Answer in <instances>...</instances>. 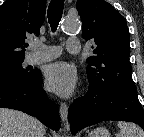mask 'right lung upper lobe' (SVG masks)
<instances>
[{"mask_svg": "<svg viewBox=\"0 0 144 137\" xmlns=\"http://www.w3.org/2000/svg\"><path fill=\"white\" fill-rule=\"evenodd\" d=\"M46 0H6L0 6V68L24 60L28 35L40 34Z\"/></svg>", "mask_w": 144, "mask_h": 137, "instance_id": "right-lung-upper-lobe-1", "label": "right lung upper lobe"}]
</instances>
